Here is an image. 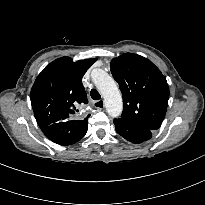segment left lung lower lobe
I'll return each instance as SVG.
<instances>
[{"label":"left lung lower lobe","instance_id":"left-lung-lower-lobe-1","mask_svg":"<svg viewBox=\"0 0 205 205\" xmlns=\"http://www.w3.org/2000/svg\"><path fill=\"white\" fill-rule=\"evenodd\" d=\"M116 132L126 140L139 144L152 137L153 130L130 123L122 118L114 119Z\"/></svg>","mask_w":205,"mask_h":205}]
</instances>
